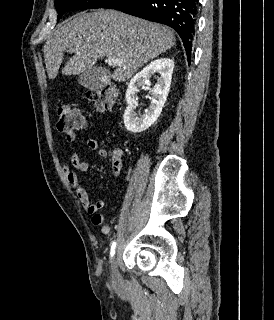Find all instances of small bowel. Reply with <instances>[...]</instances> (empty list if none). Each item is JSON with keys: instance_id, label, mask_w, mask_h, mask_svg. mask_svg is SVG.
<instances>
[{"instance_id": "1", "label": "small bowel", "mask_w": 274, "mask_h": 320, "mask_svg": "<svg viewBox=\"0 0 274 320\" xmlns=\"http://www.w3.org/2000/svg\"><path fill=\"white\" fill-rule=\"evenodd\" d=\"M78 124L79 131H86L87 126L90 124V121L88 119H79ZM76 138L77 133L75 131H72L65 135L64 144L60 151L61 170L66 181L73 189L76 197L78 198L82 208L88 215L91 216V223L96 226L102 225L105 218L103 214L100 213V210L103 209L104 202L102 200L91 202L88 191L80 183L76 172L73 170L75 169L81 172H86L90 167L89 161L81 159L77 152L72 151L70 155V165L72 166V169L71 166L66 162L64 157L69 145L73 144ZM86 146L91 151L96 152L102 158L109 157L113 176L116 179H119L121 177L125 162L124 151L122 148L117 147L109 152L104 147H101L98 141L93 138H88L86 140Z\"/></svg>"}]
</instances>
